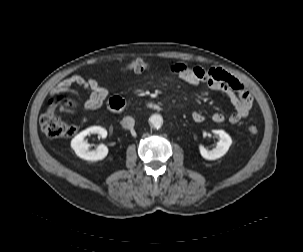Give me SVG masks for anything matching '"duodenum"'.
Masks as SVG:
<instances>
[{"label":"duodenum","instance_id":"1","mask_svg":"<svg viewBox=\"0 0 303 252\" xmlns=\"http://www.w3.org/2000/svg\"><path fill=\"white\" fill-rule=\"evenodd\" d=\"M133 105H134V102L125 101L122 98H118L115 101L114 105L111 106V110L114 113H122L126 108L133 106ZM146 107L148 109L155 110V111L162 109V105L157 102H148V103H146Z\"/></svg>","mask_w":303,"mask_h":252}]
</instances>
